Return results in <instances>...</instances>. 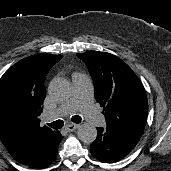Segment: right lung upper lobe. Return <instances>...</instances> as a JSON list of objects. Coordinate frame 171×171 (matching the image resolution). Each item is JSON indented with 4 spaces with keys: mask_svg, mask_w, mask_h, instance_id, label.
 I'll return each instance as SVG.
<instances>
[{
    "mask_svg": "<svg viewBox=\"0 0 171 171\" xmlns=\"http://www.w3.org/2000/svg\"><path fill=\"white\" fill-rule=\"evenodd\" d=\"M62 55L36 54L17 62L0 80V139L21 164L37 158L56 134L40 127L38 116L46 97L44 81L49 69ZM10 92L5 103L3 93Z\"/></svg>",
    "mask_w": 171,
    "mask_h": 171,
    "instance_id": "1",
    "label": "right lung upper lobe"
}]
</instances>
